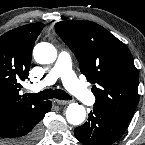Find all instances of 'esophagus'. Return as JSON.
I'll use <instances>...</instances> for the list:
<instances>
[{"mask_svg": "<svg viewBox=\"0 0 145 145\" xmlns=\"http://www.w3.org/2000/svg\"><path fill=\"white\" fill-rule=\"evenodd\" d=\"M56 102L59 105H66V104H68V101H66V100H56Z\"/></svg>", "mask_w": 145, "mask_h": 145, "instance_id": "1", "label": "esophagus"}]
</instances>
